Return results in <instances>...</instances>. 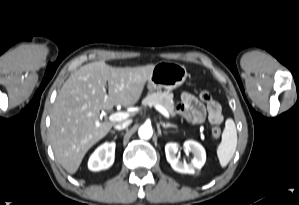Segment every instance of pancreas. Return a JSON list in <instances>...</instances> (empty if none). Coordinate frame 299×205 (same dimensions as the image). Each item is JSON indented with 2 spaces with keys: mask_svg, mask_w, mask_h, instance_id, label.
Returning a JSON list of instances; mask_svg holds the SVG:
<instances>
[{
  "mask_svg": "<svg viewBox=\"0 0 299 205\" xmlns=\"http://www.w3.org/2000/svg\"><path fill=\"white\" fill-rule=\"evenodd\" d=\"M142 104L144 106H151L153 104H158L164 107L168 113L174 117L176 115L175 109H174V101H173V94L169 91L162 92L157 91L154 93H149L142 101Z\"/></svg>",
  "mask_w": 299,
  "mask_h": 205,
  "instance_id": "cf45deb5",
  "label": "pancreas"
}]
</instances>
